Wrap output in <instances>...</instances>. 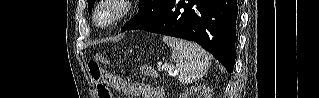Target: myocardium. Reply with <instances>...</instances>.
Instances as JSON below:
<instances>
[{"mask_svg":"<svg viewBox=\"0 0 319 98\" xmlns=\"http://www.w3.org/2000/svg\"><path fill=\"white\" fill-rule=\"evenodd\" d=\"M133 2L134 1L130 0L100 1L94 9L93 20L96 23V25L100 27H110L112 25H115L131 13L133 8ZM104 8H113L115 10L113 16L106 21H102L99 18V14Z\"/></svg>","mask_w":319,"mask_h":98,"instance_id":"myocardium-1","label":"myocardium"}]
</instances>
